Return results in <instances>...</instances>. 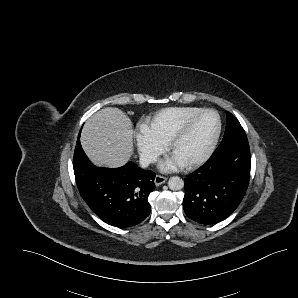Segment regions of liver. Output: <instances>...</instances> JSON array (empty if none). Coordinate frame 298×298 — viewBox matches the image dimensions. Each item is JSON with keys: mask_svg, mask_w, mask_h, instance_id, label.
<instances>
[{"mask_svg": "<svg viewBox=\"0 0 298 298\" xmlns=\"http://www.w3.org/2000/svg\"><path fill=\"white\" fill-rule=\"evenodd\" d=\"M80 143L92 165L123 167L134 153L132 122L119 108H103L85 121Z\"/></svg>", "mask_w": 298, "mask_h": 298, "instance_id": "obj_1", "label": "liver"}]
</instances>
